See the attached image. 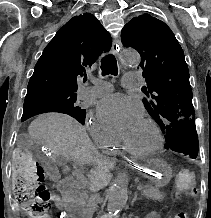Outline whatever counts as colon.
<instances>
[{
    "instance_id": "1",
    "label": "colon",
    "mask_w": 211,
    "mask_h": 218,
    "mask_svg": "<svg viewBox=\"0 0 211 218\" xmlns=\"http://www.w3.org/2000/svg\"><path fill=\"white\" fill-rule=\"evenodd\" d=\"M13 187L24 212L30 218H49L50 192L43 184L44 170L37 157L29 150L19 149L12 160ZM196 177L193 171L182 169L177 174L178 191L186 195L195 193ZM174 218H188L179 213Z\"/></svg>"
}]
</instances>
